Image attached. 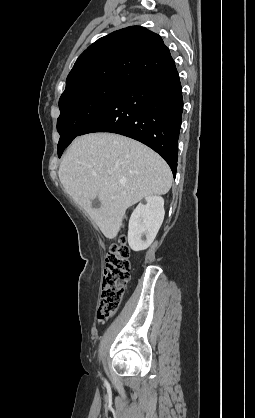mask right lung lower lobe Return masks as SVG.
<instances>
[{"label":"right lung lower lobe","instance_id":"98d812e1","mask_svg":"<svg viewBox=\"0 0 255 418\" xmlns=\"http://www.w3.org/2000/svg\"><path fill=\"white\" fill-rule=\"evenodd\" d=\"M182 111V88L174 64L127 85L79 135L111 132L138 140L160 154L175 176Z\"/></svg>","mask_w":255,"mask_h":418}]
</instances>
